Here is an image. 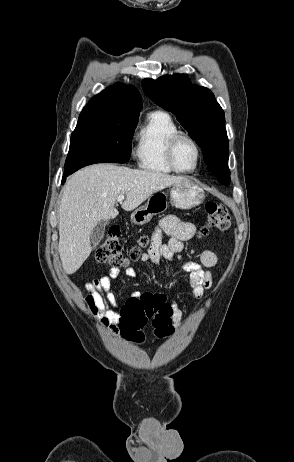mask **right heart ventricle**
I'll use <instances>...</instances> for the list:
<instances>
[{
	"label": "right heart ventricle",
	"mask_w": 294,
	"mask_h": 462,
	"mask_svg": "<svg viewBox=\"0 0 294 462\" xmlns=\"http://www.w3.org/2000/svg\"><path fill=\"white\" fill-rule=\"evenodd\" d=\"M179 128L163 110L150 112L137 132L135 156L138 166L151 173L170 174L173 169L166 159L167 143Z\"/></svg>",
	"instance_id": "obj_1"
}]
</instances>
